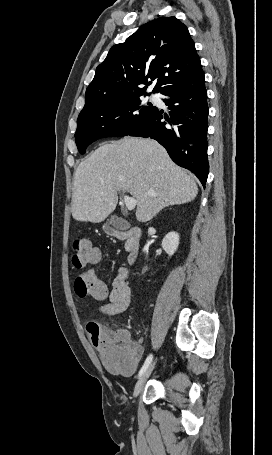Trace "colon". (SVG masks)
<instances>
[{"instance_id": "obj_1", "label": "colon", "mask_w": 272, "mask_h": 455, "mask_svg": "<svg viewBox=\"0 0 272 455\" xmlns=\"http://www.w3.org/2000/svg\"><path fill=\"white\" fill-rule=\"evenodd\" d=\"M72 263L78 269L85 270L74 282L76 294L81 298L91 297L104 300L107 296L105 283L98 279L90 266L100 260V251L93 247L86 238H77L73 245ZM87 333L98 351L104 366L111 371H125L133 363L135 348L121 338L103 330L97 323L87 325Z\"/></svg>"}]
</instances>
